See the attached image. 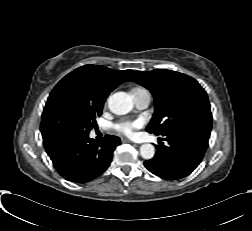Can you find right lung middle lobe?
Segmentation results:
<instances>
[{
    "mask_svg": "<svg viewBox=\"0 0 252 231\" xmlns=\"http://www.w3.org/2000/svg\"><path fill=\"white\" fill-rule=\"evenodd\" d=\"M104 99L85 95L74 86L55 87L42 114L41 133L46 151L62 143L86 136L96 126Z\"/></svg>",
    "mask_w": 252,
    "mask_h": 231,
    "instance_id": "obj_1",
    "label": "right lung middle lobe"
}]
</instances>
